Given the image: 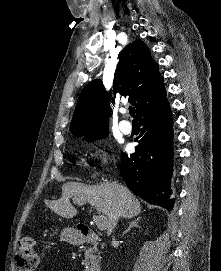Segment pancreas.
<instances>
[{
  "mask_svg": "<svg viewBox=\"0 0 221 271\" xmlns=\"http://www.w3.org/2000/svg\"><path fill=\"white\" fill-rule=\"evenodd\" d=\"M100 259V253H96V247L94 245V247H88V249H86L83 263H85V265H90V263L95 265V263H99Z\"/></svg>",
  "mask_w": 221,
  "mask_h": 271,
  "instance_id": "obj_1",
  "label": "pancreas"
}]
</instances>
